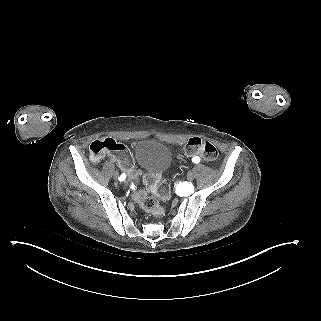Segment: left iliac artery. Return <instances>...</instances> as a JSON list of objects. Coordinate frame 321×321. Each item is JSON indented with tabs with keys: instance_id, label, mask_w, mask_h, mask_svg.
<instances>
[{
	"instance_id": "left-iliac-artery-1",
	"label": "left iliac artery",
	"mask_w": 321,
	"mask_h": 321,
	"mask_svg": "<svg viewBox=\"0 0 321 321\" xmlns=\"http://www.w3.org/2000/svg\"><path fill=\"white\" fill-rule=\"evenodd\" d=\"M194 163H199L200 162V158H198V157H195V158H193V160H192Z\"/></svg>"
}]
</instances>
